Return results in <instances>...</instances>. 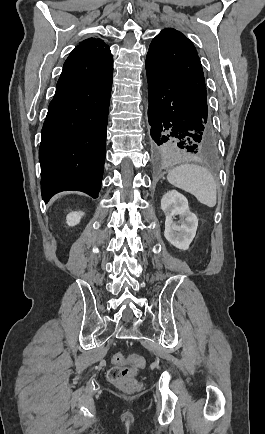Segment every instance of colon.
Segmentation results:
<instances>
[{"label": "colon", "instance_id": "1", "mask_svg": "<svg viewBox=\"0 0 265 434\" xmlns=\"http://www.w3.org/2000/svg\"><path fill=\"white\" fill-rule=\"evenodd\" d=\"M112 361L114 366L107 371V379L124 390L138 389L137 372L145 368L146 360L138 355H117Z\"/></svg>", "mask_w": 265, "mask_h": 434}]
</instances>
